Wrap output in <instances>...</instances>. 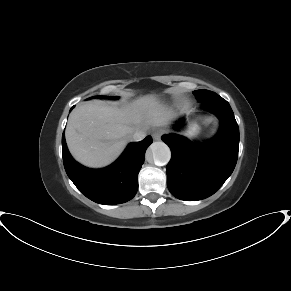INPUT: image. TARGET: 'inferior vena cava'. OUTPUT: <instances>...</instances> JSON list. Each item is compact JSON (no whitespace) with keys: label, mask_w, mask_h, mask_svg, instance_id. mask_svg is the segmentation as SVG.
<instances>
[{"label":"inferior vena cava","mask_w":291,"mask_h":291,"mask_svg":"<svg viewBox=\"0 0 291 291\" xmlns=\"http://www.w3.org/2000/svg\"><path fill=\"white\" fill-rule=\"evenodd\" d=\"M146 137V131L144 130H137L132 135L133 141H141Z\"/></svg>","instance_id":"602c4592"}]
</instances>
